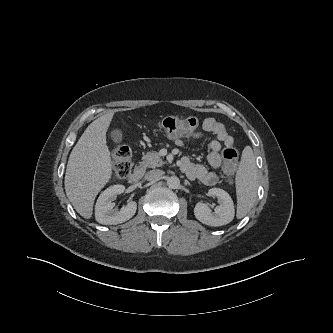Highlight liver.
I'll use <instances>...</instances> for the list:
<instances>
[{"mask_svg": "<svg viewBox=\"0 0 333 333\" xmlns=\"http://www.w3.org/2000/svg\"><path fill=\"white\" fill-rule=\"evenodd\" d=\"M114 116L109 111L94 120L72 149L65 173V192L74 209L90 219L97 194L112 176L106 132Z\"/></svg>", "mask_w": 333, "mask_h": 333, "instance_id": "obj_1", "label": "liver"}]
</instances>
